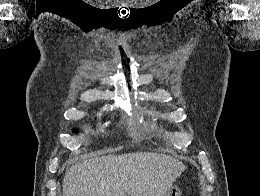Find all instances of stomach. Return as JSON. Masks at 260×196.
<instances>
[{
	"mask_svg": "<svg viewBox=\"0 0 260 196\" xmlns=\"http://www.w3.org/2000/svg\"><path fill=\"white\" fill-rule=\"evenodd\" d=\"M162 196H183V188L169 187L167 193H162Z\"/></svg>",
	"mask_w": 260,
	"mask_h": 196,
	"instance_id": "stomach-1",
	"label": "stomach"
}]
</instances>
